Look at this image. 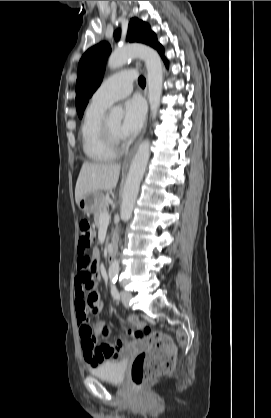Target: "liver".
I'll use <instances>...</instances> for the list:
<instances>
[{
	"label": "liver",
	"instance_id": "1",
	"mask_svg": "<svg viewBox=\"0 0 271 418\" xmlns=\"http://www.w3.org/2000/svg\"><path fill=\"white\" fill-rule=\"evenodd\" d=\"M121 166L119 164H101L84 162L75 188V200L88 193L110 191L117 185Z\"/></svg>",
	"mask_w": 271,
	"mask_h": 418
}]
</instances>
